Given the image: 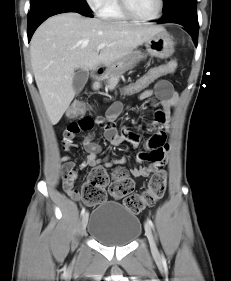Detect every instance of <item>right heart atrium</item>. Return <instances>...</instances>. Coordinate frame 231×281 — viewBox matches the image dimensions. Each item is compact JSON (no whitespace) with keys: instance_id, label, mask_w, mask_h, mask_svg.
Wrapping results in <instances>:
<instances>
[{"instance_id":"1","label":"right heart atrium","mask_w":231,"mask_h":281,"mask_svg":"<svg viewBox=\"0 0 231 281\" xmlns=\"http://www.w3.org/2000/svg\"><path fill=\"white\" fill-rule=\"evenodd\" d=\"M87 5L95 12H100L107 0H85Z\"/></svg>"}]
</instances>
